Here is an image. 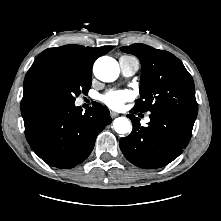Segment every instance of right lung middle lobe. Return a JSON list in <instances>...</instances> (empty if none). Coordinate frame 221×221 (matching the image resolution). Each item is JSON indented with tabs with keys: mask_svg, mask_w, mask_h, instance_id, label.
I'll return each instance as SVG.
<instances>
[{
	"mask_svg": "<svg viewBox=\"0 0 221 221\" xmlns=\"http://www.w3.org/2000/svg\"><path fill=\"white\" fill-rule=\"evenodd\" d=\"M91 72L75 68H52L41 74L33 87L38 101L74 103L80 93L91 88Z\"/></svg>",
	"mask_w": 221,
	"mask_h": 221,
	"instance_id": "dd1d6c3e",
	"label": "right lung middle lobe"
}]
</instances>
